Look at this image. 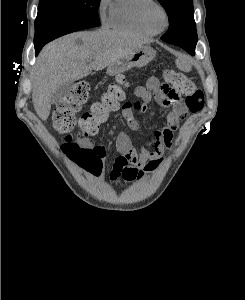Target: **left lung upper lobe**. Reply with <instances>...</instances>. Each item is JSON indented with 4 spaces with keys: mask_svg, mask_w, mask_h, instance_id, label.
Segmentation results:
<instances>
[{
    "mask_svg": "<svg viewBox=\"0 0 245 300\" xmlns=\"http://www.w3.org/2000/svg\"><path fill=\"white\" fill-rule=\"evenodd\" d=\"M169 16V28L161 39L177 45L187 38L189 48H195L197 33L192 0H158Z\"/></svg>",
    "mask_w": 245,
    "mask_h": 300,
    "instance_id": "5c2ea615",
    "label": "left lung upper lobe"
}]
</instances>
